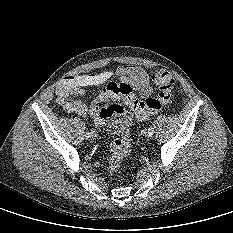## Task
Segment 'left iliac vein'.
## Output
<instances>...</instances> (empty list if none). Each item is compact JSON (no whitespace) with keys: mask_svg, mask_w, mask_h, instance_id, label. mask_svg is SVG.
Wrapping results in <instances>:
<instances>
[{"mask_svg":"<svg viewBox=\"0 0 233 233\" xmlns=\"http://www.w3.org/2000/svg\"><path fill=\"white\" fill-rule=\"evenodd\" d=\"M140 135H141L142 137L149 136V135H148V129H147V128H142V129H141V132H140ZM149 137H150V136H149Z\"/></svg>","mask_w":233,"mask_h":233,"instance_id":"1","label":"left iliac vein"}]
</instances>
